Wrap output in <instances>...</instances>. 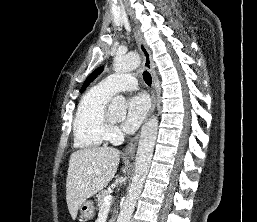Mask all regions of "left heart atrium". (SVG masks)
I'll return each mask as SVG.
<instances>
[{"instance_id": "1", "label": "left heart atrium", "mask_w": 257, "mask_h": 222, "mask_svg": "<svg viewBox=\"0 0 257 222\" xmlns=\"http://www.w3.org/2000/svg\"><path fill=\"white\" fill-rule=\"evenodd\" d=\"M149 110V100L144 94H137L132 96L128 101L126 117L123 121V129L131 133L135 131Z\"/></svg>"}]
</instances>
